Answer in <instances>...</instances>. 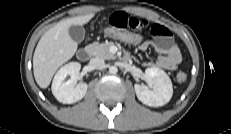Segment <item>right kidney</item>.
Returning <instances> with one entry per match:
<instances>
[{"label":"right kidney","instance_id":"right-kidney-1","mask_svg":"<svg viewBox=\"0 0 231 134\" xmlns=\"http://www.w3.org/2000/svg\"><path fill=\"white\" fill-rule=\"evenodd\" d=\"M81 65L78 62H70L61 67L56 73L52 82V93L55 98L63 104H72L81 100L86 92V83L77 84ZM70 75L68 81H64Z\"/></svg>","mask_w":231,"mask_h":134}]
</instances>
